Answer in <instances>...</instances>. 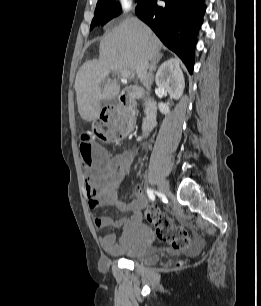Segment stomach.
<instances>
[{"label":"stomach","mask_w":261,"mask_h":306,"mask_svg":"<svg viewBox=\"0 0 261 306\" xmlns=\"http://www.w3.org/2000/svg\"><path fill=\"white\" fill-rule=\"evenodd\" d=\"M133 118L130 117V116H127L125 118V122H124V125L122 127V130H121V136L122 137H125L127 136L133 129Z\"/></svg>","instance_id":"obj_1"}]
</instances>
